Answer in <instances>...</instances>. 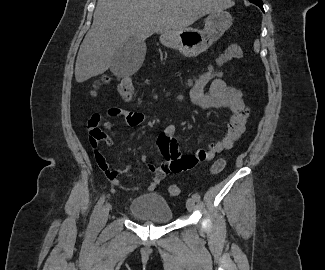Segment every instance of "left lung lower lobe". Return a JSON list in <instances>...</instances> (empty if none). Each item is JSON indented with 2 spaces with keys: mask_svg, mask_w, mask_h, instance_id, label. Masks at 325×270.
Segmentation results:
<instances>
[{
  "mask_svg": "<svg viewBox=\"0 0 325 270\" xmlns=\"http://www.w3.org/2000/svg\"><path fill=\"white\" fill-rule=\"evenodd\" d=\"M255 4V3H254ZM257 6H259L263 10V3H256ZM264 11V10H263Z\"/></svg>",
  "mask_w": 325,
  "mask_h": 270,
  "instance_id": "1",
  "label": "left lung lower lobe"
}]
</instances>
